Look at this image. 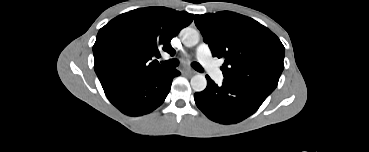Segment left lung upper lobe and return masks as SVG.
Instances as JSON below:
<instances>
[{"label": "left lung upper lobe", "mask_w": 369, "mask_h": 152, "mask_svg": "<svg viewBox=\"0 0 369 152\" xmlns=\"http://www.w3.org/2000/svg\"><path fill=\"white\" fill-rule=\"evenodd\" d=\"M195 24L212 55L224 58V81L272 92L284 69V46L268 28L252 18L222 11L195 15Z\"/></svg>", "instance_id": "1"}]
</instances>
